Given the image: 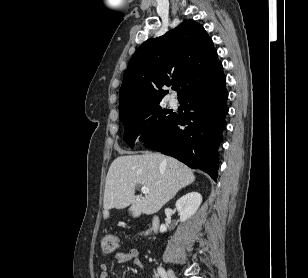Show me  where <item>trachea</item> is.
<instances>
[{"instance_id":"1","label":"trachea","mask_w":308,"mask_h":278,"mask_svg":"<svg viewBox=\"0 0 308 278\" xmlns=\"http://www.w3.org/2000/svg\"><path fill=\"white\" fill-rule=\"evenodd\" d=\"M173 89L176 90V91H178V90H179V86H178V85H175V86H173Z\"/></svg>"}]
</instances>
